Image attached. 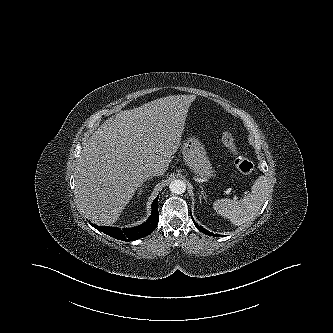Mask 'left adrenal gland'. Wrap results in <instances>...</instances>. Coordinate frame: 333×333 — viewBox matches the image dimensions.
I'll return each mask as SVG.
<instances>
[{
    "mask_svg": "<svg viewBox=\"0 0 333 333\" xmlns=\"http://www.w3.org/2000/svg\"><path fill=\"white\" fill-rule=\"evenodd\" d=\"M199 187L201 189V195H200V199H201L202 196L204 197L205 192H204V189H203L202 185H200Z\"/></svg>",
    "mask_w": 333,
    "mask_h": 333,
    "instance_id": "1",
    "label": "left adrenal gland"
}]
</instances>
